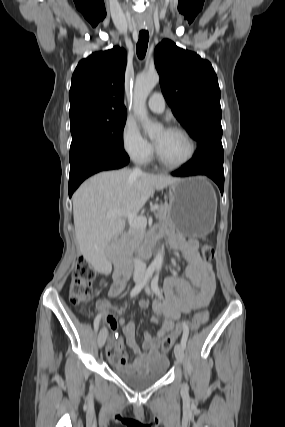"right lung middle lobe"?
<instances>
[{
  "label": "right lung middle lobe",
  "mask_w": 285,
  "mask_h": 427,
  "mask_svg": "<svg viewBox=\"0 0 285 427\" xmlns=\"http://www.w3.org/2000/svg\"><path fill=\"white\" fill-rule=\"evenodd\" d=\"M127 113L88 111L70 116L72 143L69 160L89 146H102L122 152Z\"/></svg>",
  "instance_id": "right-lung-middle-lobe-1"
}]
</instances>
